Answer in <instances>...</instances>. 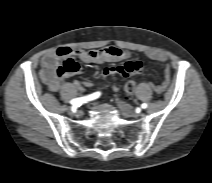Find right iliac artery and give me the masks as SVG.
Instances as JSON below:
<instances>
[{
  "label": "right iliac artery",
  "mask_w": 212,
  "mask_h": 183,
  "mask_svg": "<svg viewBox=\"0 0 212 183\" xmlns=\"http://www.w3.org/2000/svg\"><path fill=\"white\" fill-rule=\"evenodd\" d=\"M99 96H100V92H95V93H93L91 95H87V96H84V97L72 99L70 101V103L72 105V110L74 111L77 107H79L83 103H86L88 101L94 100V99L98 98Z\"/></svg>",
  "instance_id": "1"
}]
</instances>
